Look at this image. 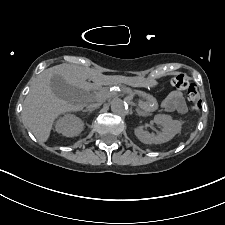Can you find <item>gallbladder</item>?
I'll use <instances>...</instances> for the list:
<instances>
[{"label": "gallbladder", "instance_id": "obj_1", "mask_svg": "<svg viewBox=\"0 0 225 225\" xmlns=\"http://www.w3.org/2000/svg\"><path fill=\"white\" fill-rule=\"evenodd\" d=\"M52 92L60 99L67 102L73 101L81 90L68 84L60 75H53L50 81Z\"/></svg>", "mask_w": 225, "mask_h": 225}]
</instances>
